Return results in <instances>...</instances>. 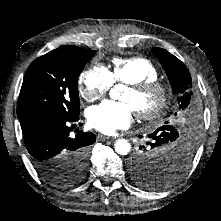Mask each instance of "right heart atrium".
Returning <instances> with one entry per match:
<instances>
[{
	"label": "right heart atrium",
	"instance_id": "d8ad5b80",
	"mask_svg": "<svg viewBox=\"0 0 221 221\" xmlns=\"http://www.w3.org/2000/svg\"><path fill=\"white\" fill-rule=\"evenodd\" d=\"M112 84L110 72L103 66H92L83 71L78 80L79 92L87 101L102 97Z\"/></svg>",
	"mask_w": 221,
	"mask_h": 221
}]
</instances>
